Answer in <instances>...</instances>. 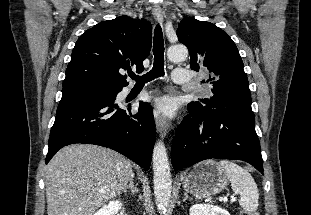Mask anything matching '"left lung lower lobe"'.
Masks as SVG:
<instances>
[{"mask_svg": "<svg viewBox=\"0 0 311 215\" xmlns=\"http://www.w3.org/2000/svg\"><path fill=\"white\" fill-rule=\"evenodd\" d=\"M176 130L171 149L175 170L211 158L246 161L263 173V160L252 110H210L189 106Z\"/></svg>", "mask_w": 311, "mask_h": 215, "instance_id": "left-lung-lower-lobe-1", "label": "left lung lower lobe"}]
</instances>
